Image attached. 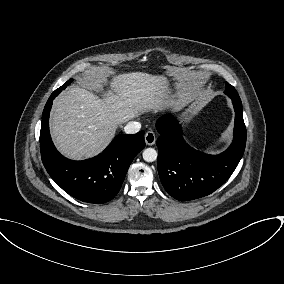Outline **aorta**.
Masks as SVG:
<instances>
[{"label":"aorta","instance_id":"762f6f07","mask_svg":"<svg viewBox=\"0 0 284 284\" xmlns=\"http://www.w3.org/2000/svg\"><path fill=\"white\" fill-rule=\"evenodd\" d=\"M143 159L146 162H154L157 160V151L154 148H147L142 153Z\"/></svg>","mask_w":284,"mask_h":284}]
</instances>
